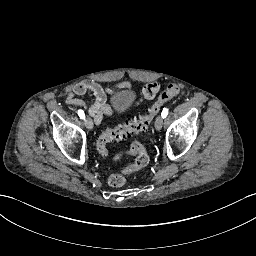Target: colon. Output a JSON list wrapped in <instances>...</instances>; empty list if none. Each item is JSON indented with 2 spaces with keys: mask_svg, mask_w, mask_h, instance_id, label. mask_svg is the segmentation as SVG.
Returning a JSON list of instances; mask_svg holds the SVG:
<instances>
[{
  "mask_svg": "<svg viewBox=\"0 0 256 256\" xmlns=\"http://www.w3.org/2000/svg\"><path fill=\"white\" fill-rule=\"evenodd\" d=\"M179 90L180 88L177 84L168 85V87L158 95L157 99L146 113L113 128L105 129L97 141L98 152L102 155H107L109 153L107 149L109 143L131 137L149 129L164 105L176 97ZM130 153L136 156L135 163L120 172L111 174L107 180L111 187L123 186L130 173L140 167H146L149 164L150 156L142 142H134L131 145ZM126 156H129V151H122L121 154H112V159L120 160L122 157Z\"/></svg>",
  "mask_w": 256,
  "mask_h": 256,
  "instance_id": "colon-1",
  "label": "colon"
}]
</instances>
